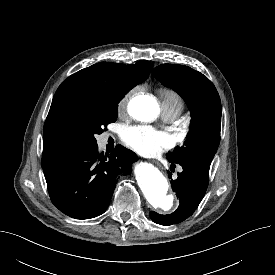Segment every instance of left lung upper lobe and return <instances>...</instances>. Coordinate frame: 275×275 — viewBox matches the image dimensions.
I'll return each instance as SVG.
<instances>
[{
	"label": "left lung upper lobe",
	"instance_id": "left-lung-upper-lobe-1",
	"mask_svg": "<svg viewBox=\"0 0 275 275\" xmlns=\"http://www.w3.org/2000/svg\"><path fill=\"white\" fill-rule=\"evenodd\" d=\"M153 74L182 96L192 117L184 144L168 154L167 159L173 163L198 160L211 164L221 128V101L215 86L202 73L178 64L159 65Z\"/></svg>",
	"mask_w": 275,
	"mask_h": 275
}]
</instances>
